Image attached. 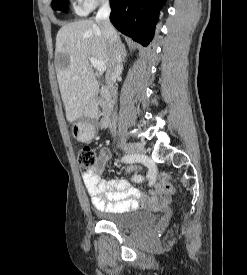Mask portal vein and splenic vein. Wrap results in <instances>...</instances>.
I'll list each match as a JSON object with an SVG mask.
<instances>
[{"mask_svg":"<svg viewBox=\"0 0 247 275\" xmlns=\"http://www.w3.org/2000/svg\"><path fill=\"white\" fill-rule=\"evenodd\" d=\"M91 65L96 69L99 73H104L106 71V65L103 61H99L92 57L89 58Z\"/></svg>","mask_w":247,"mask_h":275,"instance_id":"portal-vein-and-splenic-vein-1","label":"portal vein and splenic vein"}]
</instances>
